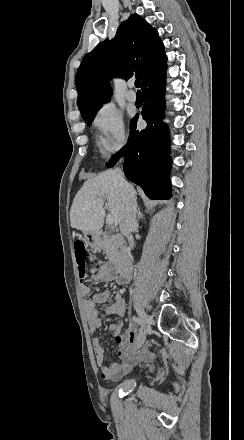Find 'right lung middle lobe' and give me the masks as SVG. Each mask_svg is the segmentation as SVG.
<instances>
[{"mask_svg": "<svg viewBox=\"0 0 244 440\" xmlns=\"http://www.w3.org/2000/svg\"><path fill=\"white\" fill-rule=\"evenodd\" d=\"M101 106H98V107H96L94 109H91V110H88V111H81L82 117H83V119L85 120V122L87 123L88 126L91 125V123H92V121H93V119H94L98 109Z\"/></svg>", "mask_w": 244, "mask_h": 440, "instance_id": "dd1d6c3e", "label": "right lung middle lobe"}]
</instances>
